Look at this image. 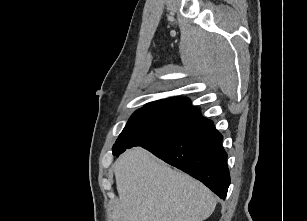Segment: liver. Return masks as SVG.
Listing matches in <instances>:
<instances>
[{
  "mask_svg": "<svg viewBox=\"0 0 307 221\" xmlns=\"http://www.w3.org/2000/svg\"><path fill=\"white\" fill-rule=\"evenodd\" d=\"M119 200L113 221H203L214 211L213 193L137 147L114 164Z\"/></svg>",
  "mask_w": 307,
  "mask_h": 221,
  "instance_id": "obj_1",
  "label": "liver"
}]
</instances>
